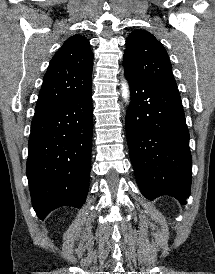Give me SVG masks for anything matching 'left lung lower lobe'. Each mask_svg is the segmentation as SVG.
<instances>
[{
  "instance_id": "0a47b994",
  "label": "left lung lower lobe",
  "mask_w": 215,
  "mask_h": 274,
  "mask_svg": "<svg viewBox=\"0 0 215 274\" xmlns=\"http://www.w3.org/2000/svg\"><path fill=\"white\" fill-rule=\"evenodd\" d=\"M131 91L126 118L130 159L141 193L186 204L191 188L189 131L179 92L125 72Z\"/></svg>"
}]
</instances>
